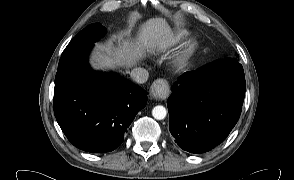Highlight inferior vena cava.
I'll use <instances>...</instances> for the list:
<instances>
[{"label":"inferior vena cava","instance_id":"602c4592","mask_svg":"<svg viewBox=\"0 0 294 180\" xmlns=\"http://www.w3.org/2000/svg\"><path fill=\"white\" fill-rule=\"evenodd\" d=\"M130 76L133 81L142 84L147 81L149 77V73L146 69L138 67V68H134L131 71Z\"/></svg>","mask_w":294,"mask_h":180}]
</instances>
